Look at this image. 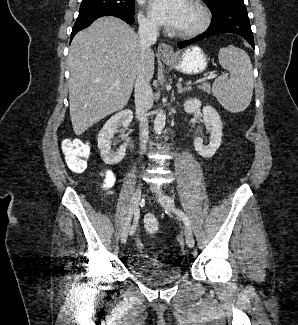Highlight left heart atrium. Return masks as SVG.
<instances>
[{
    "label": "left heart atrium",
    "mask_w": 298,
    "mask_h": 325,
    "mask_svg": "<svg viewBox=\"0 0 298 325\" xmlns=\"http://www.w3.org/2000/svg\"><path fill=\"white\" fill-rule=\"evenodd\" d=\"M183 5L181 0H151L150 16L156 24L172 29L180 23Z\"/></svg>",
    "instance_id": "left-heart-atrium-1"
}]
</instances>
